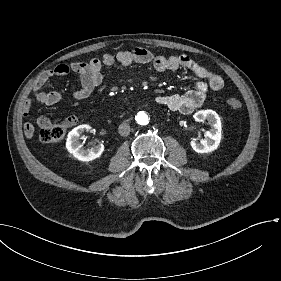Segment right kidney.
I'll return each instance as SVG.
<instances>
[{
	"label": "right kidney",
	"mask_w": 281,
	"mask_h": 281,
	"mask_svg": "<svg viewBox=\"0 0 281 281\" xmlns=\"http://www.w3.org/2000/svg\"><path fill=\"white\" fill-rule=\"evenodd\" d=\"M91 126L87 124L79 125L70 131V153L73 154L75 158L81 161H91L94 160L102 154L104 151V145L91 144L89 148L83 147L80 143V136L84 131H92Z\"/></svg>",
	"instance_id": "right-kidney-1"
}]
</instances>
